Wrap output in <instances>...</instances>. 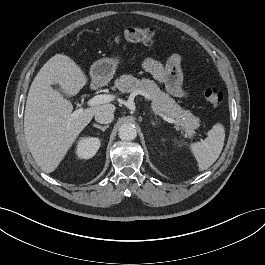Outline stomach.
<instances>
[{"instance_id":"stomach-1","label":"stomach","mask_w":265,"mask_h":265,"mask_svg":"<svg viewBox=\"0 0 265 265\" xmlns=\"http://www.w3.org/2000/svg\"><path fill=\"white\" fill-rule=\"evenodd\" d=\"M119 63V57L103 58L94 62L90 68L92 82L98 86L107 84L113 78Z\"/></svg>"}]
</instances>
